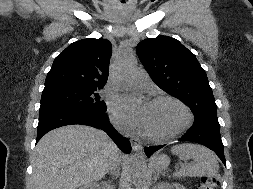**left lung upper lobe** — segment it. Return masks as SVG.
<instances>
[{"label": "left lung upper lobe", "instance_id": "5c2ea615", "mask_svg": "<svg viewBox=\"0 0 253 189\" xmlns=\"http://www.w3.org/2000/svg\"><path fill=\"white\" fill-rule=\"evenodd\" d=\"M137 54L154 83L188 105L195 122L219 123L206 72L190 50L174 38L158 36L141 41Z\"/></svg>", "mask_w": 253, "mask_h": 189}]
</instances>
